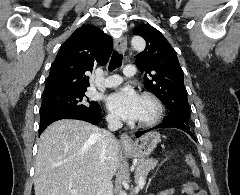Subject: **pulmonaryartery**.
I'll return each instance as SVG.
<instances>
[{"label": "pulmonary artery", "mask_w": 240, "mask_h": 195, "mask_svg": "<svg viewBox=\"0 0 240 195\" xmlns=\"http://www.w3.org/2000/svg\"><path fill=\"white\" fill-rule=\"evenodd\" d=\"M124 74L126 76H135L136 72L134 71V66L133 65H125L124 66ZM120 81H121L120 77L118 78L117 75H112L111 77L105 79L104 85L107 87L115 86L118 83H120Z\"/></svg>", "instance_id": "obj_1"}]
</instances>
